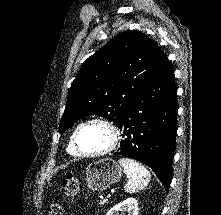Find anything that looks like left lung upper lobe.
Listing matches in <instances>:
<instances>
[{
	"instance_id": "left-lung-upper-lobe-1",
	"label": "left lung upper lobe",
	"mask_w": 221,
	"mask_h": 215,
	"mask_svg": "<svg viewBox=\"0 0 221 215\" xmlns=\"http://www.w3.org/2000/svg\"><path fill=\"white\" fill-rule=\"evenodd\" d=\"M166 59L157 43L139 31L128 30L112 38L83 63L72 82L60 131L92 114L118 126Z\"/></svg>"
}]
</instances>
